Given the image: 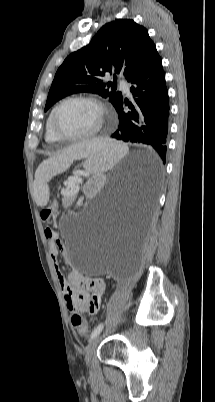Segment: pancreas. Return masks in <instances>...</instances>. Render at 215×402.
Masks as SVG:
<instances>
[{"mask_svg":"<svg viewBox=\"0 0 215 402\" xmlns=\"http://www.w3.org/2000/svg\"><path fill=\"white\" fill-rule=\"evenodd\" d=\"M76 190V189H78V186L77 185H68L67 186V190Z\"/></svg>","mask_w":215,"mask_h":402,"instance_id":"obj_1","label":"pancreas"}]
</instances>
